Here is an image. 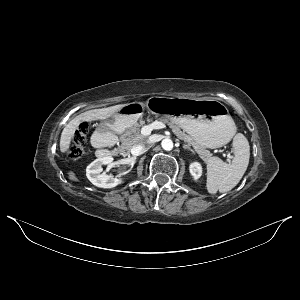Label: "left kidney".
<instances>
[{
    "label": "left kidney",
    "instance_id": "left-kidney-1",
    "mask_svg": "<svg viewBox=\"0 0 300 300\" xmlns=\"http://www.w3.org/2000/svg\"><path fill=\"white\" fill-rule=\"evenodd\" d=\"M190 173L194 177L195 180L200 178L202 174V167L198 162H194L190 165Z\"/></svg>",
    "mask_w": 300,
    "mask_h": 300
}]
</instances>
